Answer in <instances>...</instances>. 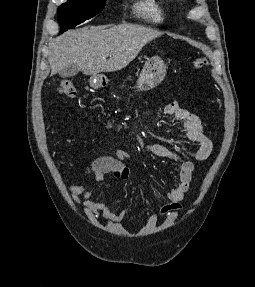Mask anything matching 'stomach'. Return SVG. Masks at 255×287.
Wrapping results in <instances>:
<instances>
[{
	"mask_svg": "<svg viewBox=\"0 0 255 287\" xmlns=\"http://www.w3.org/2000/svg\"><path fill=\"white\" fill-rule=\"evenodd\" d=\"M158 62V66H154V68H148L145 66L144 70H142L139 80L137 82V88L142 92V90H152L155 86H158L162 80L165 78L166 74V66H164L162 60H155ZM91 88H102V80L99 74H93L90 80Z\"/></svg>",
	"mask_w": 255,
	"mask_h": 287,
	"instance_id": "stomach-1",
	"label": "stomach"
}]
</instances>
